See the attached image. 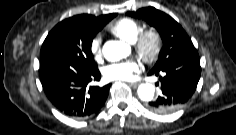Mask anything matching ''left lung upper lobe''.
Listing matches in <instances>:
<instances>
[{
  "instance_id": "obj_1",
  "label": "left lung upper lobe",
  "mask_w": 236,
  "mask_h": 135,
  "mask_svg": "<svg viewBox=\"0 0 236 135\" xmlns=\"http://www.w3.org/2000/svg\"><path fill=\"white\" fill-rule=\"evenodd\" d=\"M129 16L144 19L159 32L163 47L158 60L151 71H160L166 67L184 64L192 54H198L191 39L178 22L166 13L153 7L129 12Z\"/></svg>"
}]
</instances>
